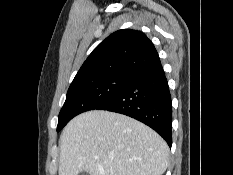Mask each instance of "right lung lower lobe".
<instances>
[{
	"mask_svg": "<svg viewBox=\"0 0 233 175\" xmlns=\"http://www.w3.org/2000/svg\"><path fill=\"white\" fill-rule=\"evenodd\" d=\"M98 110L130 116L154 129L172 144V104L161 62L138 73Z\"/></svg>",
	"mask_w": 233,
	"mask_h": 175,
	"instance_id": "98d812e1",
	"label": "right lung lower lobe"
}]
</instances>
